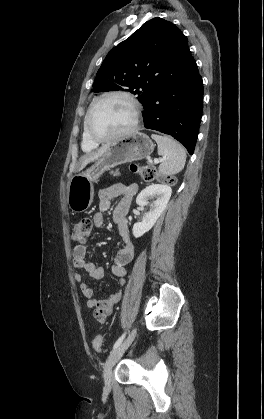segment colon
<instances>
[{
    "mask_svg": "<svg viewBox=\"0 0 264 419\" xmlns=\"http://www.w3.org/2000/svg\"><path fill=\"white\" fill-rule=\"evenodd\" d=\"M131 170L138 175H140L145 181H154L157 180L161 183L172 184L174 179L170 176H164L158 173L156 168L152 165H131ZM92 221L88 218H83L80 221L76 222L73 226L72 235L74 240L79 243H85L91 233ZM93 349L96 352L102 351V337L101 335H96L92 341Z\"/></svg>",
    "mask_w": 264,
    "mask_h": 419,
    "instance_id": "1",
    "label": "colon"
}]
</instances>
